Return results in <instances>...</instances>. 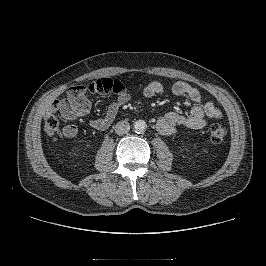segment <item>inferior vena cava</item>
Returning a JSON list of instances; mask_svg holds the SVG:
<instances>
[{
  "mask_svg": "<svg viewBox=\"0 0 266 266\" xmlns=\"http://www.w3.org/2000/svg\"><path fill=\"white\" fill-rule=\"evenodd\" d=\"M130 130V125L127 121L123 120V121H119L118 123H116L115 125V133L117 135H124L127 132H129Z\"/></svg>",
  "mask_w": 266,
  "mask_h": 266,
  "instance_id": "1",
  "label": "inferior vena cava"
}]
</instances>
